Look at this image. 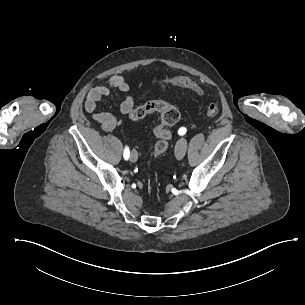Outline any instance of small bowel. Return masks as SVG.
I'll use <instances>...</instances> for the list:
<instances>
[{
    "mask_svg": "<svg viewBox=\"0 0 305 305\" xmlns=\"http://www.w3.org/2000/svg\"><path fill=\"white\" fill-rule=\"evenodd\" d=\"M112 91L125 94L124 100L119 106V112L123 116L130 115L134 109L135 101L131 94V89L125 79L120 75L112 76L106 85H100L92 88L85 100V110L91 114L94 121H96L106 132H110L117 126L115 116L107 112L98 111L99 101L108 96Z\"/></svg>",
    "mask_w": 305,
    "mask_h": 305,
    "instance_id": "c3829d8e",
    "label": "small bowel"
}]
</instances>
